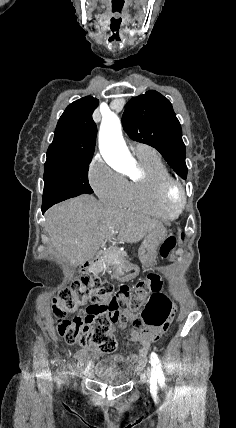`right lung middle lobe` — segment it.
Masks as SVG:
<instances>
[{
	"label": "right lung middle lobe",
	"instance_id": "right-lung-middle-lobe-1",
	"mask_svg": "<svg viewBox=\"0 0 236 428\" xmlns=\"http://www.w3.org/2000/svg\"><path fill=\"white\" fill-rule=\"evenodd\" d=\"M92 158L46 160L42 205H53L80 194H92L88 169Z\"/></svg>",
	"mask_w": 236,
	"mask_h": 428
}]
</instances>
